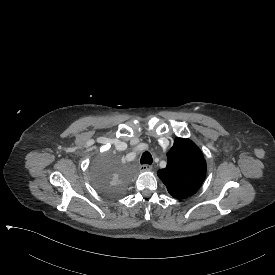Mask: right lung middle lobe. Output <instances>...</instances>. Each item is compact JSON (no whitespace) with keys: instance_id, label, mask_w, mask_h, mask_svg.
I'll use <instances>...</instances> for the list:
<instances>
[{"instance_id":"obj_1","label":"right lung middle lobe","mask_w":275,"mask_h":275,"mask_svg":"<svg viewBox=\"0 0 275 275\" xmlns=\"http://www.w3.org/2000/svg\"><path fill=\"white\" fill-rule=\"evenodd\" d=\"M92 180L102 196L116 199L130 182L128 164L116 153H103L93 163Z\"/></svg>"}]
</instances>
